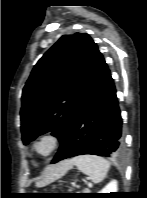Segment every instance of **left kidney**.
I'll return each instance as SVG.
<instances>
[{
  "mask_svg": "<svg viewBox=\"0 0 147 198\" xmlns=\"http://www.w3.org/2000/svg\"><path fill=\"white\" fill-rule=\"evenodd\" d=\"M110 192H117V181L112 180L108 183L101 191L98 193H110Z\"/></svg>",
  "mask_w": 147,
  "mask_h": 198,
  "instance_id": "obj_1",
  "label": "left kidney"
}]
</instances>
